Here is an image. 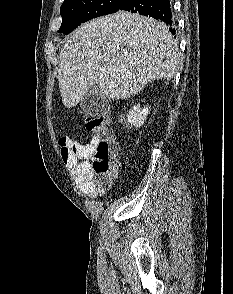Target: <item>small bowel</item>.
Returning <instances> with one entry per match:
<instances>
[{
	"label": "small bowel",
	"mask_w": 233,
	"mask_h": 294,
	"mask_svg": "<svg viewBox=\"0 0 233 294\" xmlns=\"http://www.w3.org/2000/svg\"><path fill=\"white\" fill-rule=\"evenodd\" d=\"M62 150L67 151L64 162L79 177L83 179V187L90 196H97L104 192L107 180L99 179L92 170L88 161L89 153L92 150V142L89 144H81L69 137H64L59 141Z\"/></svg>",
	"instance_id": "c3829d8e"
}]
</instances>
